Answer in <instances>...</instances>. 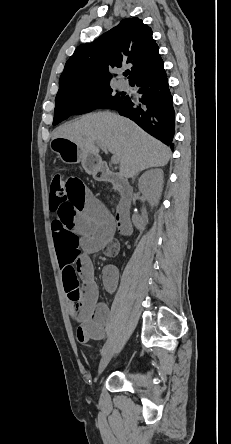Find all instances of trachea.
I'll list each match as a JSON object with an SVG mask.
<instances>
[{"label":"trachea","instance_id":"1","mask_svg":"<svg viewBox=\"0 0 231 444\" xmlns=\"http://www.w3.org/2000/svg\"><path fill=\"white\" fill-rule=\"evenodd\" d=\"M129 74V71L125 72L124 75L127 76Z\"/></svg>","mask_w":231,"mask_h":444}]
</instances>
